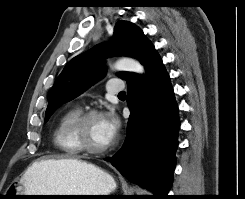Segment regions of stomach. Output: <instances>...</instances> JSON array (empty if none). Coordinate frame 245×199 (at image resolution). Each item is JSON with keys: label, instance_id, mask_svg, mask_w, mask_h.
I'll return each mask as SVG.
<instances>
[{"label": "stomach", "instance_id": "1", "mask_svg": "<svg viewBox=\"0 0 245 199\" xmlns=\"http://www.w3.org/2000/svg\"><path fill=\"white\" fill-rule=\"evenodd\" d=\"M10 187L13 188L14 195H108L116 188V183L107 172L93 164L81 161L49 172L44 178L37 181L32 178L28 180L22 178ZM70 198L84 197L44 196L38 199Z\"/></svg>", "mask_w": 245, "mask_h": 199}]
</instances>
